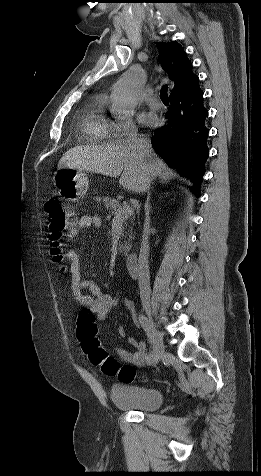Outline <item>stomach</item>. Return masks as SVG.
<instances>
[{"instance_id":"0dacf381","label":"stomach","mask_w":261,"mask_h":476,"mask_svg":"<svg viewBox=\"0 0 261 476\" xmlns=\"http://www.w3.org/2000/svg\"><path fill=\"white\" fill-rule=\"evenodd\" d=\"M54 183L62 196L69 201H77L88 190V178L83 170L63 168L54 174Z\"/></svg>"}]
</instances>
